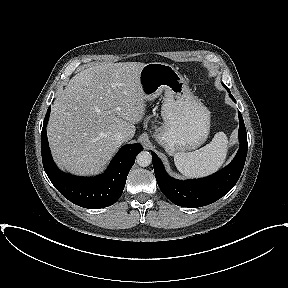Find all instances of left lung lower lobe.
<instances>
[{
	"label": "left lung lower lobe",
	"mask_w": 288,
	"mask_h": 288,
	"mask_svg": "<svg viewBox=\"0 0 288 288\" xmlns=\"http://www.w3.org/2000/svg\"><path fill=\"white\" fill-rule=\"evenodd\" d=\"M226 89L231 99L235 101L229 89ZM238 116L240 148L228 166L211 176L186 181L174 179L166 173L158 156L151 152L158 186L175 205L189 208L206 206L219 200L235 186L243 170L248 149L247 133L240 111Z\"/></svg>",
	"instance_id": "0a47b994"
}]
</instances>
